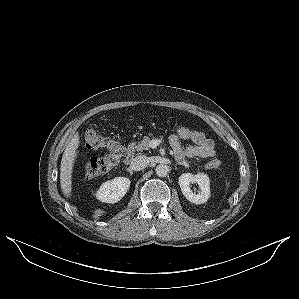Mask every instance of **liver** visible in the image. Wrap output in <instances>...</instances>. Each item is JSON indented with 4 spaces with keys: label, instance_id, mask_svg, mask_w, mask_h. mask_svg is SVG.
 <instances>
[{
    "label": "liver",
    "instance_id": "liver-1",
    "mask_svg": "<svg viewBox=\"0 0 299 299\" xmlns=\"http://www.w3.org/2000/svg\"><path fill=\"white\" fill-rule=\"evenodd\" d=\"M79 134L76 133L69 141L60 165V185L63 194L68 198L71 196L72 191V172L74 163L78 155V147L80 143Z\"/></svg>",
    "mask_w": 299,
    "mask_h": 299
}]
</instances>
